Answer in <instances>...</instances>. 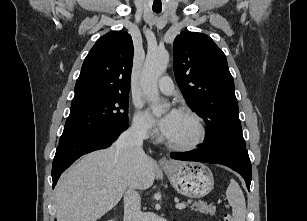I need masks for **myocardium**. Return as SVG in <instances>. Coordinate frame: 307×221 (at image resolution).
Here are the masks:
<instances>
[{
	"label": "myocardium",
	"mask_w": 307,
	"mask_h": 221,
	"mask_svg": "<svg viewBox=\"0 0 307 221\" xmlns=\"http://www.w3.org/2000/svg\"><path fill=\"white\" fill-rule=\"evenodd\" d=\"M181 113L193 119L197 127V134L192 140L188 142L174 143L167 139L166 144L168 145V147L176 151H190L197 148L204 142L207 133L206 126L202 117L195 111L191 109H183L181 110Z\"/></svg>",
	"instance_id": "1"
}]
</instances>
